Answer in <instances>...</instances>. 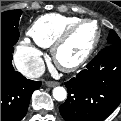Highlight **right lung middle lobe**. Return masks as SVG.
I'll return each instance as SVG.
<instances>
[{
    "label": "right lung middle lobe",
    "mask_w": 121,
    "mask_h": 121,
    "mask_svg": "<svg viewBox=\"0 0 121 121\" xmlns=\"http://www.w3.org/2000/svg\"><path fill=\"white\" fill-rule=\"evenodd\" d=\"M21 10L1 13V44L14 45L19 39V19Z\"/></svg>",
    "instance_id": "1"
}]
</instances>
